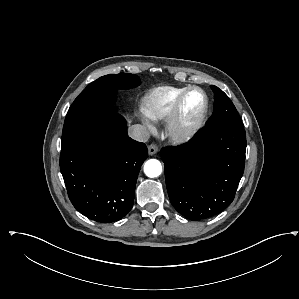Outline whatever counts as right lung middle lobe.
<instances>
[{
  "label": "right lung middle lobe",
  "instance_id": "obj_1",
  "mask_svg": "<svg viewBox=\"0 0 299 299\" xmlns=\"http://www.w3.org/2000/svg\"><path fill=\"white\" fill-rule=\"evenodd\" d=\"M140 84L134 74H110L92 82L71 105L62 131L61 145L66 146L75 136L102 117L116 113L117 89H129Z\"/></svg>",
  "mask_w": 299,
  "mask_h": 299
}]
</instances>
